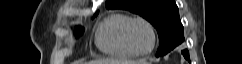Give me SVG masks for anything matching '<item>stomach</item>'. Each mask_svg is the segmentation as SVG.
I'll use <instances>...</instances> for the list:
<instances>
[{
  "label": "stomach",
  "instance_id": "obj_1",
  "mask_svg": "<svg viewBox=\"0 0 242 64\" xmlns=\"http://www.w3.org/2000/svg\"><path fill=\"white\" fill-rule=\"evenodd\" d=\"M140 64H147V63L142 62V63H140Z\"/></svg>",
  "mask_w": 242,
  "mask_h": 64
}]
</instances>
